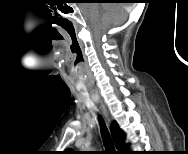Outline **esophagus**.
<instances>
[{
    "label": "esophagus",
    "instance_id": "obj_1",
    "mask_svg": "<svg viewBox=\"0 0 188 154\" xmlns=\"http://www.w3.org/2000/svg\"><path fill=\"white\" fill-rule=\"evenodd\" d=\"M103 113H104L105 117L108 119V113H107V111L105 110V108H103ZM108 120H109V119H108Z\"/></svg>",
    "mask_w": 188,
    "mask_h": 154
}]
</instances>
